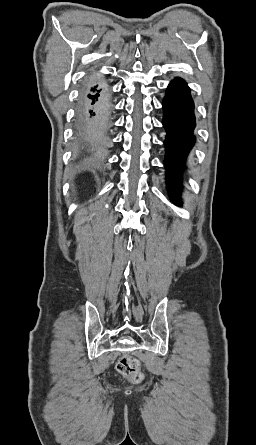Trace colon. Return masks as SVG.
<instances>
[{
    "mask_svg": "<svg viewBox=\"0 0 256 445\" xmlns=\"http://www.w3.org/2000/svg\"><path fill=\"white\" fill-rule=\"evenodd\" d=\"M116 368L121 375L130 378L135 382L142 380L143 376L140 371L138 360L129 355L122 356L119 359Z\"/></svg>",
    "mask_w": 256,
    "mask_h": 445,
    "instance_id": "1",
    "label": "colon"
}]
</instances>
